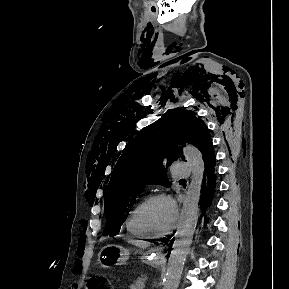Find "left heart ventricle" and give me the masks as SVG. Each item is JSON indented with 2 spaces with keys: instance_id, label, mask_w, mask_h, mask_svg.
<instances>
[{
  "instance_id": "left-heart-ventricle-1",
  "label": "left heart ventricle",
  "mask_w": 289,
  "mask_h": 289,
  "mask_svg": "<svg viewBox=\"0 0 289 289\" xmlns=\"http://www.w3.org/2000/svg\"><path fill=\"white\" fill-rule=\"evenodd\" d=\"M174 218L173 207L167 200H156L144 212L145 225L157 232L166 230Z\"/></svg>"
}]
</instances>
